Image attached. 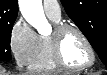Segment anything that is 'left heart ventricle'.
<instances>
[{
    "label": "left heart ventricle",
    "mask_w": 107,
    "mask_h": 75,
    "mask_svg": "<svg viewBox=\"0 0 107 75\" xmlns=\"http://www.w3.org/2000/svg\"><path fill=\"white\" fill-rule=\"evenodd\" d=\"M62 54L65 61L72 66H81L86 64L89 59V51L74 31H68L62 38Z\"/></svg>",
    "instance_id": "left-heart-ventricle-1"
}]
</instances>
